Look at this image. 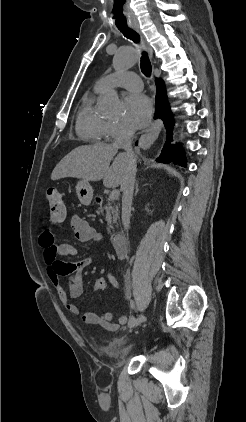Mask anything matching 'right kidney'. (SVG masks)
<instances>
[{"label":"right kidney","mask_w":246,"mask_h":422,"mask_svg":"<svg viewBox=\"0 0 246 422\" xmlns=\"http://www.w3.org/2000/svg\"><path fill=\"white\" fill-rule=\"evenodd\" d=\"M146 211L149 213L150 212V210L148 209V208H146Z\"/></svg>","instance_id":"right-kidney-1"}]
</instances>
